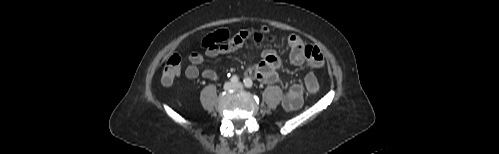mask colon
<instances>
[{"label": "colon", "instance_id": "5ec220e1", "mask_svg": "<svg viewBox=\"0 0 499 154\" xmlns=\"http://www.w3.org/2000/svg\"><path fill=\"white\" fill-rule=\"evenodd\" d=\"M181 56L177 53L170 55L164 63L162 71V83L166 86L171 85L181 70ZM306 90L314 94L319 90V82L313 73H308L304 79Z\"/></svg>", "mask_w": 499, "mask_h": 154}]
</instances>
